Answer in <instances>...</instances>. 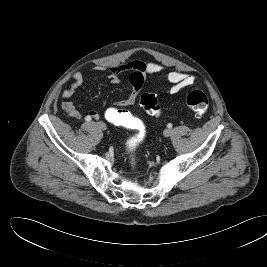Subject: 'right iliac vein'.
I'll use <instances>...</instances> for the list:
<instances>
[{
    "label": "right iliac vein",
    "instance_id": "1",
    "mask_svg": "<svg viewBox=\"0 0 267 267\" xmlns=\"http://www.w3.org/2000/svg\"><path fill=\"white\" fill-rule=\"evenodd\" d=\"M98 127H99L101 130H106V129H107L106 124L103 123V122H99V123H98Z\"/></svg>",
    "mask_w": 267,
    "mask_h": 267
}]
</instances>
